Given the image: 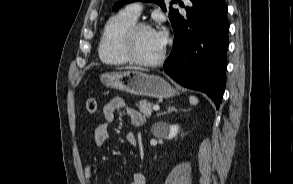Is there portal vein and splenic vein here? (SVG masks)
<instances>
[{
  "instance_id": "portal-vein-and-splenic-vein-1",
  "label": "portal vein and splenic vein",
  "mask_w": 293,
  "mask_h": 184,
  "mask_svg": "<svg viewBox=\"0 0 293 184\" xmlns=\"http://www.w3.org/2000/svg\"><path fill=\"white\" fill-rule=\"evenodd\" d=\"M159 109H160V107L158 105L153 106V110L158 111Z\"/></svg>"
}]
</instances>
